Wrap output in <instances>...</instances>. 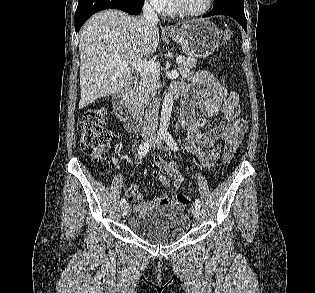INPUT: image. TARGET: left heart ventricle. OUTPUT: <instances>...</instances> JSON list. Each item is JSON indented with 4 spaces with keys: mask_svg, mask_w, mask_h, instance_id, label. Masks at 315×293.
Wrapping results in <instances>:
<instances>
[{
    "mask_svg": "<svg viewBox=\"0 0 315 293\" xmlns=\"http://www.w3.org/2000/svg\"><path fill=\"white\" fill-rule=\"evenodd\" d=\"M183 7L190 11H199L206 6L207 0H180Z\"/></svg>",
    "mask_w": 315,
    "mask_h": 293,
    "instance_id": "left-heart-ventricle-1",
    "label": "left heart ventricle"
}]
</instances>
